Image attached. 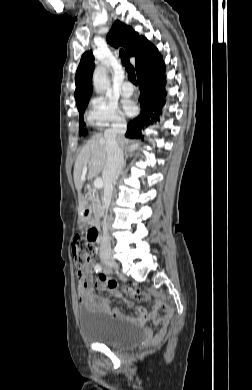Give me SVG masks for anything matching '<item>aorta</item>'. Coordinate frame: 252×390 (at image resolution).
Returning a JSON list of instances; mask_svg holds the SVG:
<instances>
[{
  "mask_svg": "<svg viewBox=\"0 0 252 390\" xmlns=\"http://www.w3.org/2000/svg\"><path fill=\"white\" fill-rule=\"evenodd\" d=\"M93 86L96 93H104L110 87L107 68L103 65L96 67L93 74Z\"/></svg>",
  "mask_w": 252,
  "mask_h": 390,
  "instance_id": "obj_1",
  "label": "aorta"
}]
</instances>
